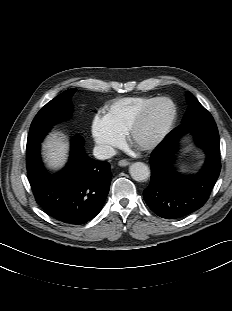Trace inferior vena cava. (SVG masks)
I'll use <instances>...</instances> for the list:
<instances>
[{"instance_id": "602c4592", "label": "inferior vena cava", "mask_w": 232, "mask_h": 311, "mask_svg": "<svg viewBox=\"0 0 232 311\" xmlns=\"http://www.w3.org/2000/svg\"><path fill=\"white\" fill-rule=\"evenodd\" d=\"M116 151L109 145H97L93 149V155L99 160H105L113 157Z\"/></svg>"}]
</instances>
